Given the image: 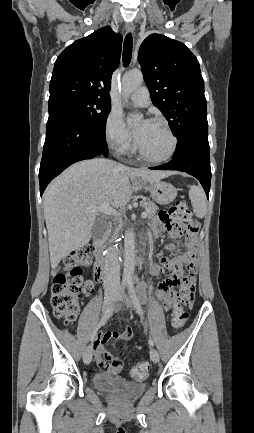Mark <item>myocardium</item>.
Here are the masks:
<instances>
[{
    "label": "myocardium",
    "instance_id": "obj_1",
    "mask_svg": "<svg viewBox=\"0 0 254 433\" xmlns=\"http://www.w3.org/2000/svg\"><path fill=\"white\" fill-rule=\"evenodd\" d=\"M151 122L162 125L164 127V129L166 130V132L168 133V135L170 136L172 144H171V148H170L169 152L165 156L160 157V158L150 157L141 149L137 140L135 142L136 150H137L139 156L147 162H150V163L167 162L175 155V153L177 151L178 139L166 120H164L162 118H153V119H151Z\"/></svg>",
    "mask_w": 254,
    "mask_h": 433
}]
</instances>
